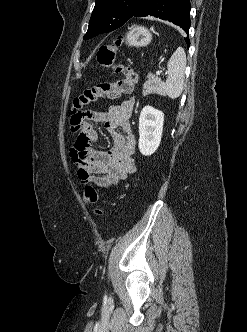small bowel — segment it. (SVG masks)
<instances>
[{"mask_svg": "<svg viewBox=\"0 0 247 332\" xmlns=\"http://www.w3.org/2000/svg\"><path fill=\"white\" fill-rule=\"evenodd\" d=\"M133 108L134 101L130 99L109 106L106 112L86 111L83 114L77 138L70 150L82 184L110 190L136 171L133 158L136 140L130 126ZM90 120L104 124L113 141V147L108 152L94 147L98 135Z\"/></svg>", "mask_w": 247, "mask_h": 332, "instance_id": "c3829d8e", "label": "small bowel"}]
</instances>
